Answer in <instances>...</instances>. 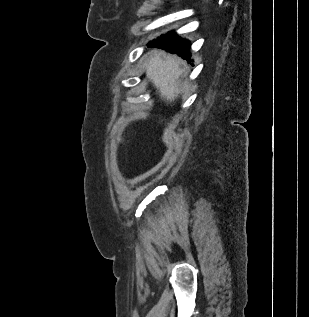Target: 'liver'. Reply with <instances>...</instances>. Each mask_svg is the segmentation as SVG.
Returning a JSON list of instances; mask_svg holds the SVG:
<instances>
[{
    "instance_id": "obj_1",
    "label": "liver",
    "mask_w": 309,
    "mask_h": 317,
    "mask_svg": "<svg viewBox=\"0 0 309 317\" xmlns=\"http://www.w3.org/2000/svg\"><path fill=\"white\" fill-rule=\"evenodd\" d=\"M181 65L182 61L177 57L156 52L146 66L147 78L168 102L174 101L180 93L179 77L184 72Z\"/></svg>"
}]
</instances>
